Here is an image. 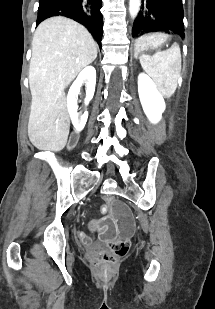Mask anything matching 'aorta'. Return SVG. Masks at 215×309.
Masks as SVG:
<instances>
[{
    "instance_id": "aorta-1",
    "label": "aorta",
    "mask_w": 215,
    "mask_h": 309,
    "mask_svg": "<svg viewBox=\"0 0 215 309\" xmlns=\"http://www.w3.org/2000/svg\"><path fill=\"white\" fill-rule=\"evenodd\" d=\"M141 6V0H129V12L132 18L137 16Z\"/></svg>"
}]
</instances>
